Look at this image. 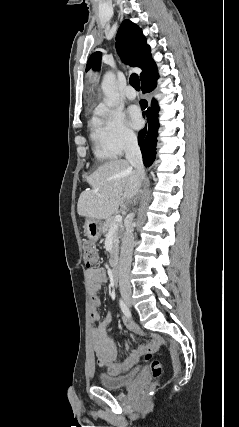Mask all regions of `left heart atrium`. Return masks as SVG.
<instances>
[{"label": "left heart atrium", "instance_id": "obj_1", "mask_svg": "<svg viewBox=\"0 0 239 427\" xmlns=\"http://www.w3.org/2000/svg\"><path fill=\"white\" fill-rule=\"evenodd\" d=\"M128 117L129 123L134 129H139L142 126L143 119L137 106H131L128 109Z\"/></svg>", "mask_w": 239, "mask_h": 427}]
</instances>
